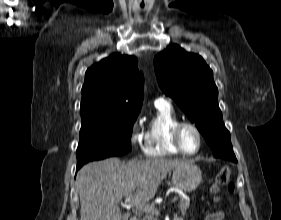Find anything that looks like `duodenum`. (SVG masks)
I'll return each mask as SVG.
<instances>
[{
    "label": "duodenum",
    "instance_id": "obj_1",
    "mask_svg": "<svg viewBox=\"0 0 281 220\" xmlns=\"http://www.w3.org/2000/svg\"><path fill=\"white\" fill-rule=\"evenodd\" d=\"M130 220H138V219H137V218H131ZM175 220H182V219L177 218V219H175Z\"/></svg>",
    "mask_w": 281,
    "mask_h": 220
}]
</instances>
